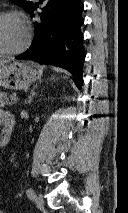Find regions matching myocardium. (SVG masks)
<instances>
[{
    "label": "myocardium",
    "instance_id": "obj_1",
    "mask_svg": "<svg viewBox=\"0 0 128 213\" xmlns=\"http://www.w3.org/2000/svg\"><path fill=\"white\" fill-rule=\"evenodd\" d=\"M5 17H14V18L19 19L23 23L24 28H25V39L19 47L15 48V49L0 48V55H16V54H19V53L25 51L28 48L30 41H31V29H30V26L28 25L27 21L23 17V15L16 10L0 11V19L5 18Z\"/></svg>",
    "mask_w": 128,
    "mask_h": 213
}]
</instances>
